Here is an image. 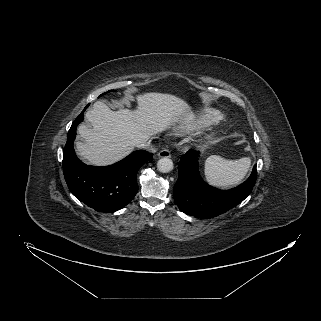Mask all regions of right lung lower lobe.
Returning <instances> with one entry per match:
<instances>
[{"instance_id":"right-lung-lower-lobe-1","label":"right lung lower lobe","mask_w":321,"mask_h":321,"mask_svg":"<svg viewBox=\"0 0 321 321\" xmlns=\"http://www.w3.org/2000/svg\"><path fill=\"white\" fill-rule=\"evenodd\" d=\"M84 110L68 132L63 152V172L71 193L80 201L100 212H115L134 198L138 191L136 175L139 168L152 159L145 150L132 152L123 160L105 167L89 166L75 155L73 142L76 128L83 121Z\"/></svg>"}]
</instances>
